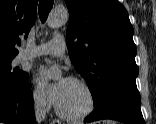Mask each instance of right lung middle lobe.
<instances>
[{
    "label": "right lung middle lobe",
    "instance_id": "right-lung-middle-lobe-1",
    "mask_svg": "<svg viewBox=\"0 0 156 124\" xmlns=\"http://www.w3.org/2000/svg\"><path fill=\"white\" fill-rule=\"evenodd\" d=\"M11 61V59L0 60V75L14 82H23L28 80V73L20 71L17 68L11 71Z\"/></svg>",
    "mask_w": 156,
    "mask_h": 124
}]
</instances>
